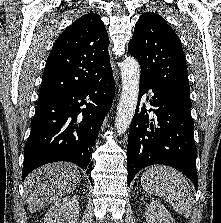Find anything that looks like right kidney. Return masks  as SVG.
Instances as JSON below:
<instances>
[{"label": "right kidney", "mask_w": 221, "mask_h": 223, "mask_svg": "<svg viewBox=\"0 0 221 223\" xmlns=\"http://www.w3.org/2000/svg\"><path fill=\"white\" fill-rule=\"evenodd\" d=\"M79 202L77 197H64L58 200L46 213L44 223H77Z\"/></svg>", "instance_id": "obj_1"}]
</instances>
